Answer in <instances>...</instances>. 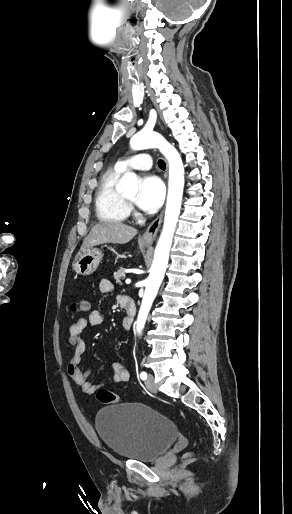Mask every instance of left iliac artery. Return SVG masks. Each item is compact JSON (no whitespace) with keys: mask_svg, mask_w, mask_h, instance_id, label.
I'll list each match as a JSON object with an SVG mask.
<instances>
[{"mask_svg":"<svg viewBox=\"0 0 292 514\" xmlns=\"http://www.w3.org/2000/svg\"><path fill=\"white\" fill-rule=\"evenodd\" d=\"M140 378H141L142 380H146V379H147V373H146V372H144V371H142V372L140 373Z\"/></svg>","mask_w":292,"mask_h":514,"instance_id":"left-iliac-artery-1","label":"left iliac artery"}]
</instances>
